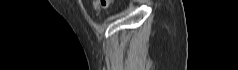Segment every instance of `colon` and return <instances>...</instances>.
Wrapping results in <instances>:
<instances>
[{"instance_id":"1","label":"colon","mask_w":238,"mask_h":70,"mask_svg":"<svg viewBox=\"0 0 238 70\" xmlns=\"http://www.w3.org/2000/svg\"><path fill=\"white\" fill-rule=\"evenodd\" d=\"M110 2L109 0H99L97 4L99 8H105Z\"/></svg>"}]
</instances>
